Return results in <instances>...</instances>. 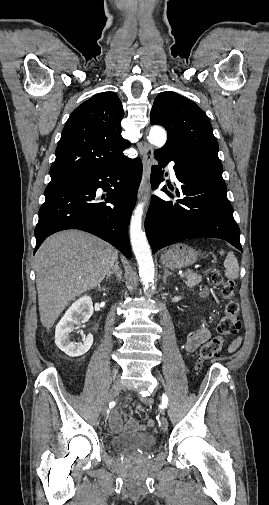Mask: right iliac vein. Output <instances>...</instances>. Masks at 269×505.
<instances>
[{"label": "right iliac vein", "mask_w": 269, "mask_h": 505, "mask_svg": "<svg viewBox=\"0 0 269 505\" xmlns=\"http://www.w3.org/2000/svg\"><path fill=\"white\" fill-rule=\"evenodd\" d=\"M120 382H121V379L115 380L113 382V386L109 390V392H108V394H107V396H106V398L104 400L103 407H102V413H103L104 416L106 415V412L108 410L110 402L116 396V394L118 393V391L122 389V386L120 385Z\"/></svg>", "instance_id": "1"}]
</instances>
